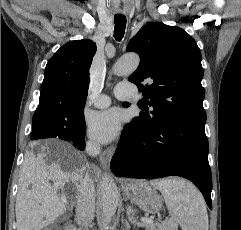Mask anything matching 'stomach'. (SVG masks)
<instances>
[{"instance_id": "obj_1", "label": "stomach", "mask_w": 241, "mask_h": 230, "mask_svg": "<svg viewBox=\"0 0 241 230\" xmlns=\"http://www.w3.org/2000/svg\"><path fill=\"white\" fill-rule=\"evenodd\" d=\"M123 190L128 199L146 213L156 214L162 209L161 196L146 181H131L124 184Z\"/></svg>"}]
</instances>
